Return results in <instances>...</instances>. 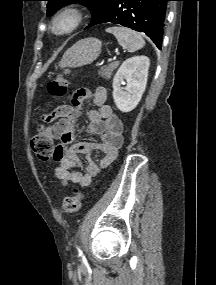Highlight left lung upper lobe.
Returning a JSON list of instances; mask_svg holds the SVG:
<instances>
[{
	"instance_id": "1",
	"label": "left lung upper lobe",
	"mask_w": 216,
	"mask_h": 285,
	"mask_svg": "<svg viewBox=\"0 0 216 285\" xmlns=\"http://www.w3.org/2000/svg\"><path fill=\"white\" fill-rule=\"evenodd\" d=\"M47 16L53 15L58 9L69 3H81L87 6L92 12V21L88 27L97 22L107 11L113 0H46ZM87 27V28H88Z\"/></svg>"
}]
</instances>
